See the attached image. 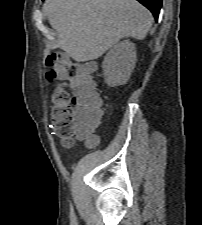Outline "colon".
Returning <instances> with one entry per match:
<instances>
[{
	"label": "colon",
	"instance_id": "5ec220e1",
	"mask_svg": "<svg viewBox=\"0 0 202 225\" xmlns=\"http://www.w3.org/2000/svg\"><path fill=\"white\" fill-rule=\"evenodd\" d=\"M44 78L54 86L50 117L55 136L66 147L73 145L76 139L95 144L97 139L90 127L78 124L75 117L78 99L87 100L92 111L100 112L103 109L90 72L78 62L63 63L60 55L53 54L45 60Z\"/></svg>",
	"mask_w": 202,
	"mask_h": 225
}]
</instances>
